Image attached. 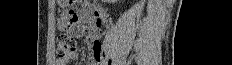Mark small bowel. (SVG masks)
<instances>
[{
	"mask_svg": "<svg viewBox=\"0 0 232 65\" xmlns=\"http://www.w3.org/2000/svg\"><path fill=\"white\" fill-rule=\"evenodd\" d=\"M79 21L85 22L87 25L84 29H80L77 26ZM106 17L102 10L98 6H92L88 10H82L80 12H61V20L59 31L61 34H79V38H86V35L90 39L89 44V58L88 65H100L102 47L99 41L101 35V28L106 24ZM76 57V52L73 51L64 57H59L56 60V65H66Z\"/></svg>",
	"mask_w": 232,
	"mask_h": 65,
	"instance_id": "c3829d8e",
	"label": "small bowel"
}]
</instances>
